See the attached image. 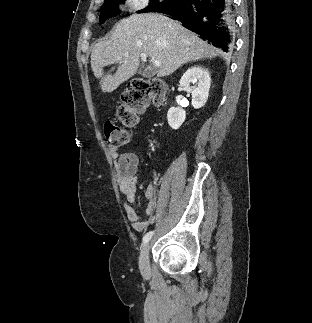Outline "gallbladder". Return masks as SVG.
Listing matches in <instances>:
<instances>
[{
    "label": "gallbladder",
    "instance_id": "1",
    "mask_svg": "<svg viewBox=\"0 0 312 323\" xmlns=\"http://www.w3.org/2000/svg\"><path fill=\"white\" fill-rule=\"evenodd\" d=\"M142 76L144 78H152V76H155V70H150V68H145L142 72Z\"/></svg>",
    "mask_w": 312,
    "mask_h": 323
}]
</instances>
